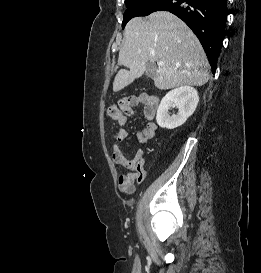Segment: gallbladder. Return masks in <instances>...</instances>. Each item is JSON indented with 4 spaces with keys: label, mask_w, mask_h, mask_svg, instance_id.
Wrapping results in <instances>:
<instances>
[{
    "label": "gallbladder",
    "mask_w": 261,
    "mask_h": 273,
    "mask_svg": "<svg viewBox=\"0 0 261 273\" xmlns=\"http://www.w3.org/2000/svg\"><path fill=\"white\" fill-rule=\"evenodd\" d=\"M146 75L152 79L156 76V67L154 63H147Z\"/></svg>",
    "instance_id": "obj_1"
}]
</instances>
